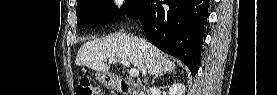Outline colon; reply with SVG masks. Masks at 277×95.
I'll list each match as a JSON object with an SVG mask.
<instances>
[{"label": "colon", "mask_w": 277, "mask_h": 95, "mask_svg": "<svg viewBox=\"0 0 277 95\" xmlns=\"http://www.w3.org/2000/svg\"><path fill=\"white\" fill-rule=\"evenodd\" d=\"M76 93L77 95H98L100 90L93 86L89 80H82L77 86Z\"/></svg>", "instance_id": "1"}]
</instances>
